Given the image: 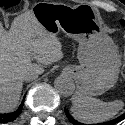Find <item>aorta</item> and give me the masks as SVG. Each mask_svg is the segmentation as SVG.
Returning <instances> with one entry per match:
<instances>
[{"instance_id": "762f6f07", "label": "aorta", "mask_w": 125, "mask_h": 125, "mask_svg": "<svg viewBox=\"0 0 125 125\" xmlns=\"http://www.w3.org/2000/svg\"><path fill=\"white\" fill-rule=\"evenodd\" d=\"M56 91L65 97L71 96L75 90L73 80L67 76H59L54 82Z\"/></svg>"}]
</instances>
